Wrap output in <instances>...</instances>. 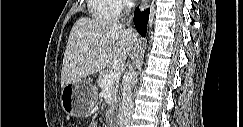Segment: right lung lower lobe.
<instances>
[{"instance_id":"98d812e1","label":"right lung lower lobe","mask_w":243,"mask_h":127,"mask_svg":"<svg viewBox=\"0 0 243 127\" xmlns=\"http://www.w3.org/2000/svg\"><path fill=\"white\" fill-rule=\"evenodd\" d=\"M149 18V9L144 13H140L139 8L136 9L134 13V24L137 31L144 37L146 34V27Z\"/></svg>"}]
</instances>
